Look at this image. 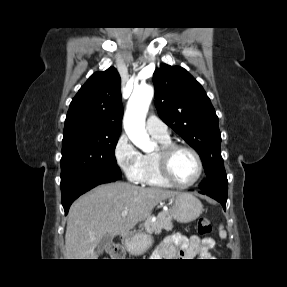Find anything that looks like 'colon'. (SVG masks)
Wrapping results in <instances>:
<instances>
[{"label":"colon","mask_w":287,"mask_h":287,"mask_svg":"<svg viewBox=\"0 0 287 287\" xmlns=\"http://www.w3.org/2000/svg\"><path fill=\"white\" fill-rule=\"evenodd\" d=\"M212 230L211 222L207 218H200L197 225L198 234L205 237L210 234Z\"/></svg>","instance_id":"obj_1"}]
</instances>
